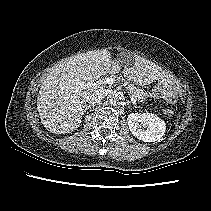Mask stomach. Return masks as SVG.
<instances>
[{
	"label": "stomach",
	"instance_id": "stomach-1",
	"mask_svg": "<svg viewBox=\"0 0 211 211\" xmlns=\"http://www.w3.org/2000/svg\"><path fill=\"white\" fill-rule=\"evenodd\" d=\"M127 59L128 58L126 56H121L117 60L120 61V62H123V61H126ZM130 64L134 65L132 68L137 69V66L135 65V63L133 61ZM129 82H131L133 84H136V85H140V86H145L146 85L144 82H139L135 78L130 79ZM174 84H175V82H174L173 78L169 77L168 79L160 80L158 82V85H157L156 88L158 89L159 92H161L163 94H168L169 92H172V91L175 90Z\"/></svg>",
	"mask_w": 211,
	"mask_h": 211
}]
</instances>
